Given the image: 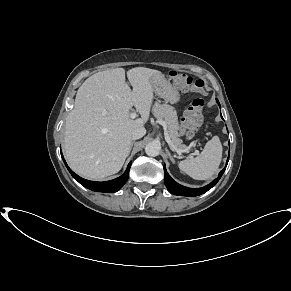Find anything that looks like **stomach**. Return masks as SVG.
<instances>
[{
	"label": "stomach",
	"instance_id": "obj_1",
	"mask_svg": "<svg viewBox=\"0 0 291 291\" xmlns=\"http://www.w3.org/2000/svg\"><path fill=\"white\" fill-rule=\"evenodd\" d=\"M151 84L154 92L165 101L172 104L180 101V94L176 86L170 83V80L165 78L164 75L158 74L151 78Z\"/></svg>",
	"mask_w": 291,
	"mask_h": 291
}]
</instances>
